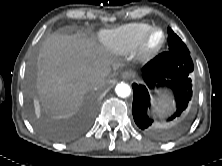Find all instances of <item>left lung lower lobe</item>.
I'll list each match as a JSON object with an SVG mask.
<instances>
[{"mask_svg": "<svg viewBox=\"0 0 222 166\" xmlns=\"http://www.w3.org/2000/svg\"><path fill=\"white\" fill-rule=\"evenodd\" d=\"M194 64L190 53L181 51H166L157 55L143 68V77L146 85L133 84L132 113L137 126L145 131H153V119L148 115L150 108V94L148 90L158 87H167L174 93L177 103L176 112L168 121L179 117L186 110L192 97L191 73Z\"/></svg>", "mask_w": 222, "mask_h": 166, "instance_id": "1", "label": "left lung lower lobe"}]
</instances>
